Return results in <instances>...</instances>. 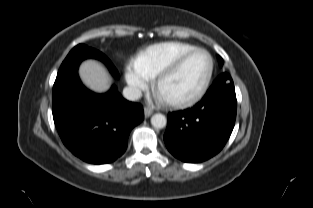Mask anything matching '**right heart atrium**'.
Listing matches in <instances>:
<instances>
[{"label": "right heart atrium", "instance_id": "right-heart-atrium-1", "mask_svg": "<svg viewBox=\"0 0 313 208\" xmlns=\"http://www.w3.org/2000/svg\"><path fill=\"white\" fill-rule=\"evenodd\" d=\"M126 80L129 86L135 91L144 90L149 83V79L139 73L135 68L128 69Z\"/></svg>", "mask_w": 313, "mask_h": 208}]
</instances>
